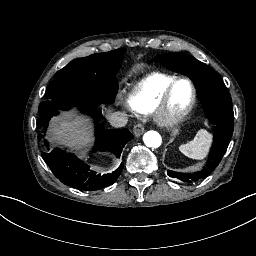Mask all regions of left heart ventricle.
<instances>
[{"mask_svg":"<svg viewBox=\"0 0 256 256\" xmlns=\"http://www.w3.org/2000/svg\"><path fill=\"white\" fill-rule=\"evenodd\" d=\"M191 89L190 86L186 82L179 83L170 99V109L173 112H179L185 109L191 102ZM153 111L152 104L148 101H144L143 103V112L151 113ZM158 118H160L163 122L165 120L164 112H158L155 114Z\"/></svg>","mask_w":256,"mask_h":256,"instance_id":"left-heart-ventricle-1","label":"left heart ventricle"}]
</instances>
